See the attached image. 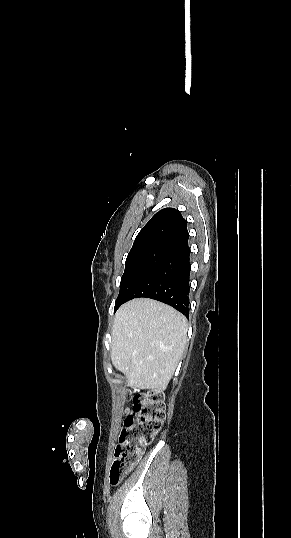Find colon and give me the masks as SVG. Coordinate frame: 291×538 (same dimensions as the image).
Instances as JSON below:
<instances>
[{
  "label": "colon",
  "mask_w": 291,
  "mask_h": 538,
  "mask_svg": "<svg viewBox=\"0 0 291 538\" xmlns=\"http://www.w3.org/2000/svg\"><path fill=\"white\" fill-rule=\"evenodd\" d=\"M119 443L109 471V484L116 486L138 462L143 450L160 432L165 419L164 395L159 391L131 396Z\"/></svg>",
  "instance_id": "obj_1"
}]
</instances>
